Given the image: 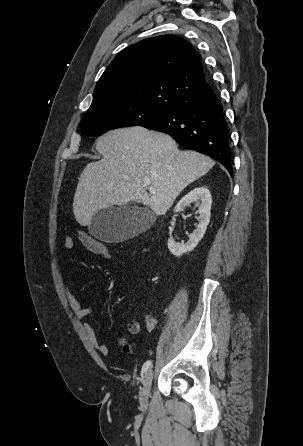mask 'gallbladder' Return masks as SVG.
<instances>
[{
  "instance_id": "obj_1",
  "label": "gallbladder",
  "mask_w": 303,
  "mask_h": 446,
  "mask_svg": "<svg viewBox=\"0 0 303 446\" xmlns=\"http://www.w3.org/2000/svg\"><path fill=\"white\" fill-rule=\"evenodd\" d=\"M154 219V215L143 208L111 206L92 217L89 231L99 240L119 242L143 232Z\"/></svg>"
}]
</instances>
